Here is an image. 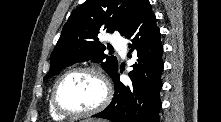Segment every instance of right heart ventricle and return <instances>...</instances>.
Masks as SVG:
<instances>
[{
    "mask_svg": "<svg viewBox=\"0 0 221 122\" xmlns=\"http://www.w3.org/2000/svg\"><path fill=\"white\" fill-rule=\"evenodd\" d=\"M48 110H49V114L50 116L52 117L53 120H56V121H59V120H62L64 118V116H62L61 114L57 113L53 106H52V103H51V97L49 99V102H48Z\"/></svg>",
    "mask_w": 221,
    "mask_h": 122,
    "instance_id": "right-heart-ventricle-1",
    "label": "right heart ventricle"
}]
</instances>
